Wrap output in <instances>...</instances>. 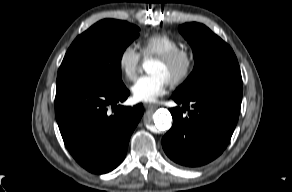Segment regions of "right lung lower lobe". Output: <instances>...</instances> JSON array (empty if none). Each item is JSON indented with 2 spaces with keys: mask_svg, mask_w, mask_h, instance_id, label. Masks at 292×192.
<instances>
[{
  "mask_svg": "<svg viewBox=\"0 0 292 192\" xmlns=\"http://www.w3.org/2000/svg\"><path fill=\"white\" fill-rule=\"evenodd\" d=\"M129 94L125 86L110 90L83 80L57 81L56 120L67 149L86 170L107 173L124 160L144 112L142 104L117 106Z\"/></svg>",
  "mask_w": 292,
  "mask_h": 192,
  "instance_id": "right-lung-lower-lobe-1",
  "label": "right lung lower lobe"
}]
</instances>
